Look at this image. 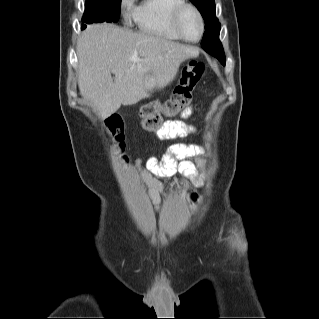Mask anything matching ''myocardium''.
I'll return each mask as SVG.
<instances>
[{"label":"myocardium","mask_w":319,"mask_h":319,"mask_svg":"<svg viewBox=\"0 0 319 319\" xmlns=\"http://www.w3.org/2000/svg\"><path fill=\"white\" fill-rule=\"evenodd\" d=\"M186 10H192L195 15L197 16L198 18V21H199V24H200V34L197 38L195 39H189L187 38L181 28H180V19H181V16L183 15V13L186 11ZM170 26L173 30V32L182 40L184 41H187V42H198L202 37H203V34H204V20H203V17H202V14L201 12L198 10V8L196 6H194L193 4H190V3H182L180 5H178L172 12L171 14V17H170Z\"/></svg>","instance_id":"obj_1"}]
</instances>
